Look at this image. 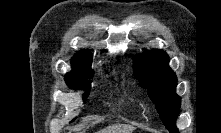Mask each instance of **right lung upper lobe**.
<instances>
[{
    "label": "right lung upper lobe",
    "instance_id": "right-lung-upper-lobe-1",
    "mask_svg": "<svg viewBox=\"0 0 221 133\" xmlns=\"http://www.w3.org/2000/svg\"><path fill=\"white\" fill-rule=\"evenodd\" d=\"M91 58L87 51H82L72 58L73 70L66 76L76 75L89 71Z\"/></svg>",
    "mask_w": 221,
    "mask_h": 133
}]
</instances>
